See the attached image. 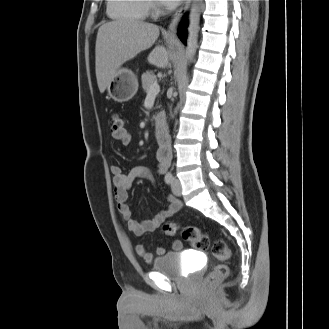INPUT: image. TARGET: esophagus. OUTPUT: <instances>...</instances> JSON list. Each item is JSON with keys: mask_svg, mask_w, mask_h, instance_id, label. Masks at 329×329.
Instances as JSON below:
<instances>
[{"mask_svg": "<svg viewBox=\"0 0 329 329\" xmlns=\"http://www.w3.org/2000/svg\"><path fill=\"white\" fill-rule=\"evenodd\" d=\"M190 3H191V0H182L180 7L175 12V14L171 20V23L168 27L169 34L174 35L176 33L178 24L181 21L183 15L189 9Z\"/></svg>", "mask_w": 329, "mask_h": 329, "instance_id": "34e87169", "label": "esophagus"}]
</instances>
